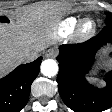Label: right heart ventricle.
Returning a JSON list of instances; mask_svg holds the SVG:
<instances>
[{
    "label": "right heart ventricle",
    "instance_id": "right-heart-ventricle-1",
    "mask_svg": "<svg viewBox=\"0 0 112 112\" xmlns=\"http://www.w3.org/2000/svg\"><path fill=\"white\" fill-rule=\"evenodd\" d=\"M80 19L76 16H69L58 22L51 30L54 38H63L75 31Z\"/></svg>",
    "mask_w": 112,
    "mask_h": 112
}]
</instances>
